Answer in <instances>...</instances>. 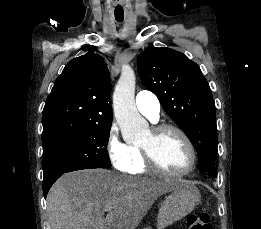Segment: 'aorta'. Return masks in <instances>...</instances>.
I'll use <instances>...</instances> for the list:
<instances>
[{"mask_svg":"<svg viewBox=\"0 0 261 229\" xmlns=\"http://www.w3.org/2000/svg\"><path fill=\"white\" fill-rule=\"evenodd\" d=\"M135 74L127 64L123 66L121 76L113 92V108L115 119L122 131L127 133L135 143L149 139V125L140 117L135 104Z\"/></svg>","mask_w":261,"mask_h":229,"instance_id":"obj_1","label":"aorta"}]
</instances>
